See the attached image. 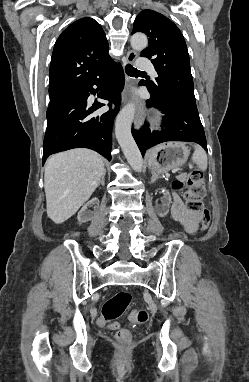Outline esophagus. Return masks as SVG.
Here are the masks:
<instances>
[{
    "mask_svg": "<svg viewBox=\"0 0 249 382\" xmlns=\"http://www.w3.org/2000/svg\"><path fill=\"white\" fill-rule=\"evenodd\" d=\"M137 57V53L133 50H130L127 53L126 56V62L127 63H133ZM130 90H131V83L129 81V78H126V93L124 95L123 100L126 101L130 96ZM144 118V104L142 102H139L137 105L135 117H134V125L136 128H139L143 123Z\"/></svg>",
    "mask_w": 249,
    "mask_h": 382,
    "instance_id": "esophagus-1",
    "label": "esophagus"
}]
</instances>
